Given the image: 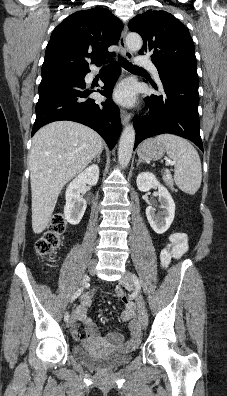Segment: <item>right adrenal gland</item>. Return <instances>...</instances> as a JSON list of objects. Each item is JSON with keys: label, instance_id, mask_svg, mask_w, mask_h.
Here are the masks:
<instances>
[{"label": "right adrenal gland", "instance_id": "2a0ac1e0", "mask_svg": "<svg viewBox=\"0 0 227 396\" xmlns=\"http://www.w3.org/2000/svg\"><path fill=\"white\" fill-rule=\"evenodd\" d=\"M100 155H101V153H99V154L95 157V160L97 159L98 163L100 162Z\"/></svg>", "mask_w": 227, "mask_h": 396}]
</instances>
